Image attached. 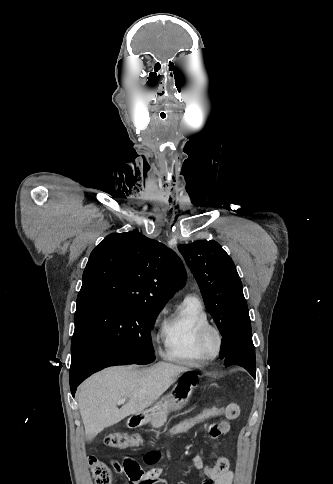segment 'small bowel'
<instances>
[{
    "label": "small bowel",
    "instance_id": "c3829d8e",
    "mask_svg": "<svg viewBox=\"0 0 333 484\" xmlns=\"http://www.w3.org/2000/svg\"><path fill=\"white\" fill-rule=\"evenodd\" d=\"M222 416L226 419H235L239 415V406L235 403H228L221 406ZM230 425L227 420H220L207 427V433L213 440L228 433ZM191 461L199 471L202 484H232L234 479L233 471L230 469L228 459L222 456L215 457L210 464H205L199 455L191 457ZM114 470L121 475L128 477V484H157L163 480L159 478L161 468L156 467L150 471H143L138 462L126 458L122 463L114 462Z\"/></svg>",
    "mask_w": 333,
    "mask_h": 484
}]
</instances>
